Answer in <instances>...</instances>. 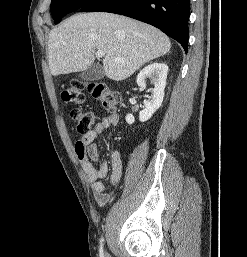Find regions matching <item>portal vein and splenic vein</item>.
Instances as JSON below:
<instances>
[{
    "label": "portal vein and splenic vein",
    "instance_id": "18ae733b",
    "mask_svg": "<svg viewBox=\"0 0 247 257\" xmlns=\"http://www.w3.org/2000/svg\"><path fill=\"white\" fill-rule=\"evenodd\" d=\"M96 54L99 57H103L105 55L104 51H102V50H98ZM115 61H122V60L119 58H116Z\"/></svg>",
    "mask_w": 247,
    "mask_h": 257
}]
</instances>
